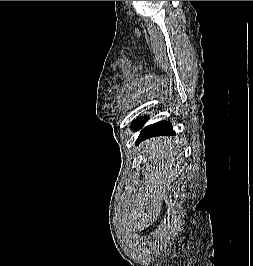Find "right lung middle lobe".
<instances>
[{"mask_svg":"<svg viewBox=\"0 0 253 266\" xmlns=\"http://www.w3.org/2000/svg\"><path fill=\"white\" fill-rule=\"evenodd\" d=\"M147 120H148V117H140V118H138L137 120H135L133 122L132 128L133 129H140ZM156 124H158V123H156ZM156 124L149 125V127L154 126Z\"/></svg>","mask_w":253,"mask_h":266,"instance_id":"dd1d6c3e","label":"right lung middle lobe"}]
</instances>
